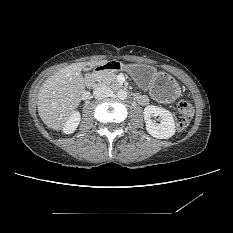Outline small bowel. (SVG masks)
I'll use <instances>...</instances> for the list:
<instances>
[{
    "label": "small bowel",
    "mask_w": 233,
    "mask_h": 233,
    "mask_svg": "<svg viewBox=\"0 0 233 233\" xmlns=\"http://www.w3.org/2000/svg\"><path fill=\"white\" fill-rule=\"evenodd\" d=\"M137 101L139 102V104H141L143 106L147 105L149 102L147 96L141 95V94L137 95Z\"/></svg>",
    "instance_id": "obj_1"
}]
</instances>
